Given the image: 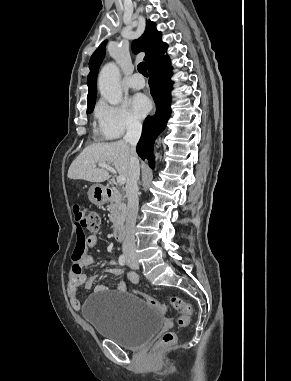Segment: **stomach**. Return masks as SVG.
Masks as SVG:
<instances>
[{
  "label": "stomach",
  "instance_id": "stomach-1",
  "mask_svg": "<svg viewBox=\"0 0 291 381\" xmlns=\"http://www.w3.org/2000/svg\"><path fill=\"white\" fill-rule=\"evenodd\" d=\"M89 200L95 205H103L106 203L107 198L104 188L100 185H92L88 191Z\"/></svg>",
  "mask_w": 291,
  "mask_h": 381
}]
</instances>
